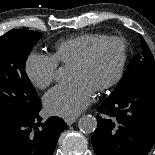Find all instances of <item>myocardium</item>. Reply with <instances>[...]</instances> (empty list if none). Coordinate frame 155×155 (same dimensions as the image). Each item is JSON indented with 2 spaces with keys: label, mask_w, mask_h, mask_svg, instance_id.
Here are the masks:
<instances>
[{
  "label": "myocardium",
  "mask_w": 155,
  "mask_h": 155,
  "mask_svg": "<svg viewBox=\"0 0 155 155\" xmlns=\"http://www.w3.org/2000/svg\"><path fill=\"white\" fill-rule=\"evenodd\" d=\"M108 42H116L120 45L121 59H120V63H119V66L117 68L115 75L108 82L99 86L96 89V91L98 92L105 91V90H108L114 87L121 80L124 74V71H125L127 57H128V49H127L126 41L122 37H119V36H105L104 38L92 44L89 47V49L84 53V55L72 65V67H83L87 65L93 58L98 48L101 45L108 43Z\"/></svg>",
  "instance_id": "myocardium-1"
}]
</instances>
